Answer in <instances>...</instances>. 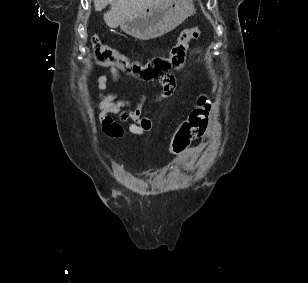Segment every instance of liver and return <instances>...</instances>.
Returning a JSON list of instances; mask_svg holds the SVG:
<instances>
[{
	"mask_svg": "<svg viewBox=\"0 0 308 283\" xmlns=\"http://www.w3.org/2000/svg\"><path fill=\"white\" fill-rule=\"evenodd\" d=\"M163 1L165 0H94V7L99 11L111 4V10L104 13L103 18L107 26L115 28L127 17Z\"/></svg>",
	"mask_w": 308,
	"mask_h": 283,
	"instance_id": "obj_1",
	"label": "liver"
}]
</instances>
